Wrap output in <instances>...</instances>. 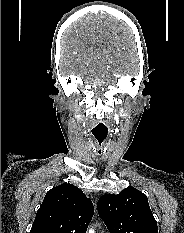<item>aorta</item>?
<instances>
[{
	"mask_svg": "<svg viewBox=\"0 0 184 233\" xmlns=\"http://www.w3.org/2000/svg\"><path fill=\"white\" fill-rule=\"evenodd\" d=\"M89 233H94V231L91 229V230H89Z\"/></svg>",
	"mask_w": 184,
	"mask_h": 233,
	"instance_id": "1",
	"label": "aorta"
}]
</instances>
